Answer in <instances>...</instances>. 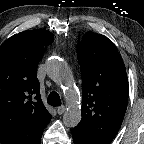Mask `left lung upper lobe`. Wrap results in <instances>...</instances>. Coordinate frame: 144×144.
Wrapping results in <instances>:
<instances>
[{
  "label": "left lung upper lobe",
  "mask_w": 144,
  "mask_h": 144,
  "mask_svg": "<svg viewBox=\"0 0 144 144\" xmlns=\"http://www.w3.org/2000/svg\"><path fill=\"white\" fill-rule=\"evenodd\" d=\"M78 61L83 82L82 119L73 128L85 137L111 143L119 131L128 103V81L116 46L105 36L87 32Z\"/></svg>",
  "instance_id": "obj_1"
}]
</instances>
